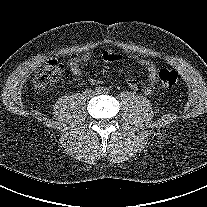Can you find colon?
I'll return each instance as SVG.
<instances>
[{
	"label": "colon",
	"instance_id": "obj_1",
	"mask_svg": "<svg viewBox=\"0 0 207 207\" xmlns=\"http://www.w3.org/2000/svg\"><path fill=\"white\" fill-rule=\"evenodd\" d=\"M62 69L63 65L59 61L50 60L35 76L34 86L41 90L49 88L60 77ZM158 76L167 88L174 87L178 82V73L173 69H161Z\"/></svg>",
	"mask_w": 207,
	"mask_h": 207
}]
</instances>
